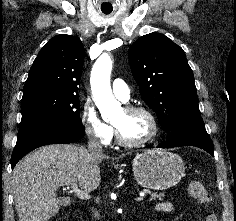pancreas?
Instances as JSON below:
<instances>
[{"label":"pancreas","instance_id":"1","mask_svg":"<svg viewBox=\"0 0 236 221\" xmlns=\"http://www.w3.org/2000/svg\"><path fill=\"white\" fill-rule=\"evenodd\" d=\"M147 193L150 194V199H151V200H155V199H157V198H158L159 200H163L164 195H163L162 193L158 194V193H153V192H150V191H148Z\"/></svg>","mask_w":236,"mask_h":221}]
</instances>
